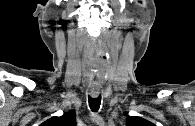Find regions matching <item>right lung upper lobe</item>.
I'll list each match as a JSON object with an SVG mask.
<instances>
[{"label": "right lung upper lobe", "instance_id": "1", "mask_svg": "<svg viewBox=\"0 0 195 126\" xmlns=\"http://www.w3.org/2000/svg\"><path fill=\"white\" fill-rule=\"evenodd\" d=\"M40 126H76L75 112L71 110L60 117H52Z\"/></svg>", "mask_w": 195, "mask_h": 126}]
</instances>
